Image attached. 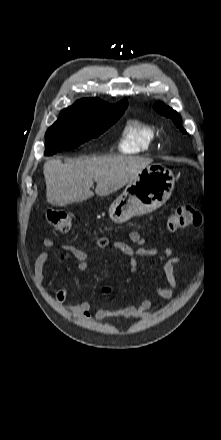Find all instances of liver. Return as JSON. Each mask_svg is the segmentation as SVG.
<instances>
[{"label": "liver", "mask_w": 221, "mask_h": 440, "mask_svg": "<svg viewBox=\"0 0 221 440\" xmlns=\"http://www.w3.org/2000/svg\"><path fill=\"white\" fill-rule=\"evenodd\" d=\"M149 159L132 156H103L63 163L60 159L45 162L43 173L46 197L51 204L63 207L91 198L95 193L108 196L126 185L150 164Z\"/></svg>", "instance_id": "1"}]
</instances>
